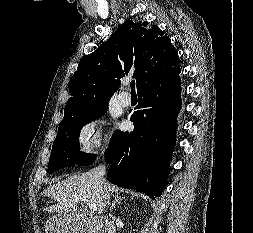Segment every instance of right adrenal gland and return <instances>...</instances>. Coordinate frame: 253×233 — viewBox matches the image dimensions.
Masks as SVG:
<instances>
[{
    "mask_svg": "<svg viewBox=\"0 0 253 233\" xmlns=\"http://www.w3.org/2000/svg\"><path fill=\"white\" fill-rule=\"evenodd\" d=\"M124 199H125L124 196H115V199H114V201H113V203H112V206H111V208H110V211L112 212V211L114 210L116 204H117L118 202H120V201H123Z\"/></svg>",
    "mask_w": 253,
    "mask_h": 233,
    "instance_id": "obj_1",
    "label": "right adrenal gland"
}]
</instances>
